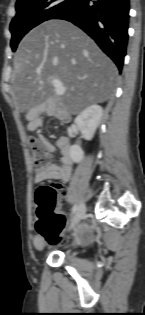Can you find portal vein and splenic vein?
<instances>
[{
    "mask_svg": "<svg viewBox=\"0 0 145 315\" xmlns=\"http://www.w3.org/2000/svg\"><path fill=\"white\" fill-rule=\"evenodd\" d=\"M52 84L55 88L56 95H58V96L64 95L66 89H65V87L61 81H59L58 79H53Z\"/></svg>",
    "mask_w": 145,
    "mask_h": 315,
    "instance_id": "1",
    "label": "portal vein and splenic vein"
}]
</instances>
